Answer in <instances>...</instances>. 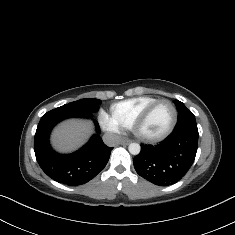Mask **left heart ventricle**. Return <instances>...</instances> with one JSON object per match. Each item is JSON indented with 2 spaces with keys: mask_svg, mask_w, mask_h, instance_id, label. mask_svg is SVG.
<instances>
[{
  "mask_svg": "<svg viewBox=\"0 0 235 235\" xmlns=\"http://www.w3.org/2000/svg\"><path fill=\"white\" fill-rule=\"evenodd\" d=\"M173 107L168 102L160 103L153 111L147 123L140 129L143 136H156L163 134L172 121Z\"/></svg>",
  "mask_w": 235,
  "mask_h": 235,
  "instance_id": "left-heart-ventricle-1",
  "label": "left heart ventricle"
}]
</instances>
